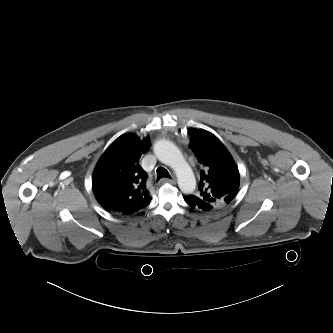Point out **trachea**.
Listing matches in <instances>:
<instances>
[{
  "label": "trachea",
  "instance_id": "trachea-1",
  "mask_svg": "<svg viewBox=\"0 0 333 333\" xmlns=\"http://www.w3.org/2000/svg\"><path fill=\"white\" fill-rule=\"evenodd\" d=\"M156 172H157V181H159L161 178L164 177L171 179L169 172L163 167H158Z\"/></svg>",
  "mask_w": 333,
  "mask_h": 333
}]
</instances>
